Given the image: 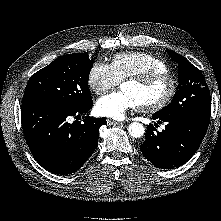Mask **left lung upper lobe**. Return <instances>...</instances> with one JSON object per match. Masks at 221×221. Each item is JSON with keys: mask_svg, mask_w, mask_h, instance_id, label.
<instances>
[{"mask_svg": "<svg viewBox=\"0 0 221 221\" xmlns=\"http://www.w3.org/2000/svg\"><path fill=\"white\" fill-rule=\"evenodd\" d=\"M173 61L178 63L179 89L173 100L155 115L168 118L189 114L211 112V97L202 72L178 53L167 50Z\"/></svg>", "mask_w": 221, "mask_h": 221, "instance_id": "obj_1", "label": "left lung upper lobe"}]
</instances>
